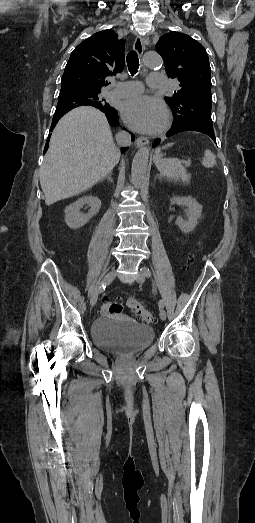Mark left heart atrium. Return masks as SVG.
Here are the masks:
<instances>
[{
    "label": "left heart atrium",
    "mask_w": 255,
    "mask_h": 523,
    "mask_svg": "<svg viewBox=\"0 0 255 523\" xmlns=\"http://www.w3.org/2000/svg\"><path fill=\"white\" fill-rule=\"evenodd\" d=\"M124 120L134 129L152 133L161 129L166 117L165 105L156 98L139 96L121 104Z\"/></svg>",
    "instance_id": "1"
}]
</instances>
